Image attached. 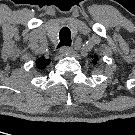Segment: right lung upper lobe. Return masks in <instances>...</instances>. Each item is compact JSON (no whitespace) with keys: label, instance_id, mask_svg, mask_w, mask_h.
<instances>
[{"label":"right lung upper lobe","instance_id":"1","mask_svg":"<svg viewBox=\"0 0 135 135\" xmlns=\"http://www.w3.org/2000/svg\"><path fill=\"white\" fill-rule=\"evenodd\" d=\"M50 63V59H45L44 57H41L36 60V67L38 69H44L48 64Z\"/></svg>","mask_w":135,"mask_h":135}]
</instances>
